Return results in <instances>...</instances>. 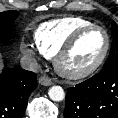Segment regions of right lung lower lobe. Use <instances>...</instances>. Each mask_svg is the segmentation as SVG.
Returning <instances> with one entry per match:
<instances>
[{"label":"right lung lower lobe","instance_id":"1","mask_svg":"<svg viewBox=\"0 0 118 118\" xmlns=\"http://www.w3.org/2000/svg\"><path fill=\"white\" fill-rule=\"evenodd\" d=\"M37 75L23 69L5 68L0 74V118H22Z\"/></svg>","mask_w":118,"mask_h":118}]
</instances>
